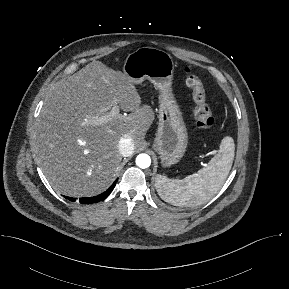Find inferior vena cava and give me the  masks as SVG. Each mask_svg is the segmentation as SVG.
Segmentation results:
<instances>
[{"instance_id":"inferior-vena-cava-1","label":"inferior vena cava","mask_w":289,"mask_h":289,"mask_svg":"<svg viewBox=\"0 0 289 289\" xmlns=\"http://www.w3.org/2000/svg\"><path fill=\"white\" fill-rule=\"evenodd\" d=\"M119 151L122 156H130L134 152L133 140L129 136H123L119 141Z\"/></svg>"}]
</instances>
